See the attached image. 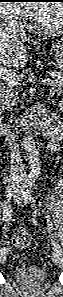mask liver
<instances>
[{"instance_id": "liver-1", "label": "liver", "mask_w": 63, "mask_h": 297, "mask_svg": "<svg viewBox=\"0 0 63 297\" xmlns=\"http://www.w3.org/2000/svg\"><path fill=\"white\" fill-rule=\"evenodd\" d=\"M26 37L4 30L0 34L1 75L10 74L11 68L23 67L27 62Z\"/></svg>"}]
</instances>
